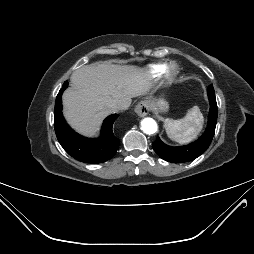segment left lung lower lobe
Instances as JSON below:
<instances>
[{"instance_id":"left-lung-lower-lobe-1","label":"left lung lower lobe","mask_w":254,"mask_h":254,"mask_svg":"<svg viewBox=\"0 0 254 254\" xmlns=\"http://www.w3.org/2000/svg\"><path fill=\"white\" fill-rule=\"evenodd\" d=\"M207 92L210 101V112L205 133L197 141L181 147L168 146L157 137L152 143V147L159 157L171 163L189 162L199 157L209 147L216 128L217 103L213 86H209Z\"/></svg>"}]
</instances>
